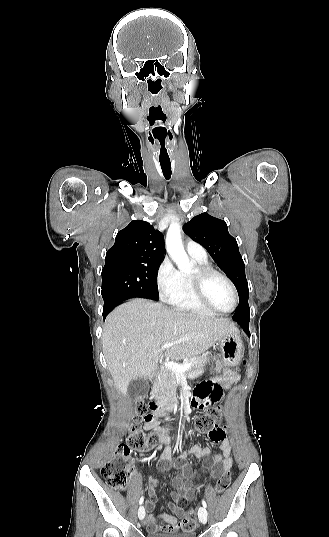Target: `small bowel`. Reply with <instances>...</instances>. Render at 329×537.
<instances>
[{"mask_svg":"<svg viewBox=\"0 0 329 537\" xmlns=\"http://www.w3.org/2000/svg\"><path fill=\"white\" fill-rule=\"evenodd\" d=\"M238 375L233 373L231 381H236ZM225 386L219 381H216L214 377H205L203 381H196L191 394L190 402L185 405V408L201 412L207 410L208 406H216L219 404L220 399L227 397V392L224 390ZM162 420V417H159ZM173 420V417H170ZM157 425L155 423H147L146 429L155 430ZM208 439L214 443L219 444L220 453L211 456V448L200 447L198 445L193 446L189 453L196 458H205L204 468L211 469L209 477L214 479L222 471H229L233 464V458L231 454V445L228 438L225 435V431L221 429L217 431L212 429L208 433ZM183 456V454H182ZM172 458V448L166 444L163 453L162 460L168 461ZM220 465V469L216 468ZM180 473L172 478L171 483L175 488V491L170 493V498L173 502L168 504L169 509L174 515L163 513L155 515L152 510L155 507L154 497L156 495V481H150L149 483V496L151 497L146 501V507L149 514L146 517L145 524L149 533L153 532H177L182 530L183 526L179 519L183 515V506L187 504L188 500H191L196 492L193 479L195 478L192 468L186 464L181 463L178 465ZM161 521V524H160Z\"/></svg>","mask_w":329,"mask_h":537,"instance_id":"c3829d8e","label":"small bowel"}]
</instances>
